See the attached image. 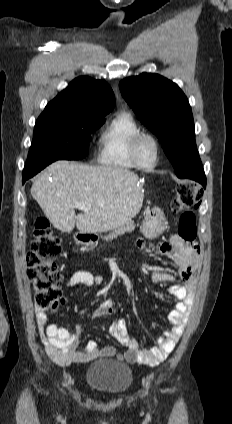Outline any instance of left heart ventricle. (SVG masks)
Here are the masks:
<instances>
[{
	"mask_svg": "<svg viewBox=\"0 0 232 424\" xmlns=\"http://www.w3.org/2000/svg\"><path fill=\"white\" fill-rule=\"evenodd\" d=\"M137 158L144 166H149L155 159V145L149 138L142 139L137 146Z\"/></svg>",
	"mask_w": 232,
	"mask_h": 424,
	"instance_id": "b2bd125f",
	"label": "left heart ventricle"
}]
</instances>
